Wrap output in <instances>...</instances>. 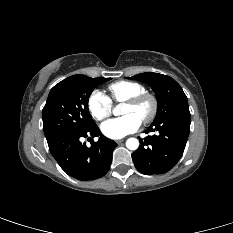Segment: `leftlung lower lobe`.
<instances>
[{"mask_svg":"<svg viewBox=\"0 0 233 233\" xmlns=\"http://www.w3.org/2000/svg\"><path fill=\"white\" fill-rule=\"evenodd\" d=\"M190 121L189 108H185L152 123L146 133L156 134L141 139V145L132 154L137 170L146 175L163 174L171 170L184 152Z\"/></svg>","mask_w":233,"mask_h":233,"instance_id":"1","label":"left lung lower lobe"}]
</instances>
